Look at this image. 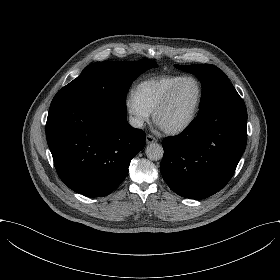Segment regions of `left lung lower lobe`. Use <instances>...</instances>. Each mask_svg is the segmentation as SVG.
I'll return each mask as SVG.
<instances>
[{
    "label": "left lung lower lobe",
    "mask_w": 280,
    "mask_h": 280,
    "mask_svg": "<svg viewBox=\"0 0 280 280\" xmlns=\"http://www.w3.org/2000/svg\"><path fill=\"white\" fill-rule=\"evenodd\" d=\"M246 142L244 101L223 100L199 112L181 134L163 140V179L182 197L207 198L231 179Z\"/></svg>",
    "instance_id": "1"
}]
</instances>
